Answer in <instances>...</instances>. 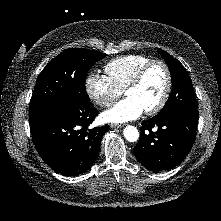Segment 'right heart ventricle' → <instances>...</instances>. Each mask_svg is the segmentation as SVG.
Instances as JSON below:
<instances>
[{
  "instance_id": "e07e8e85",
  "label": "right heart ventricle",
  "mask_w": 221,
  "mask_h": 221,
  "mask_svg": "<svg viewBox=\"0 0 221 221\" xmlns=\"http://www.w3.org/2000/svg\"><path fill=\"white\" fill-rule=\"evenodd\" d=\"M150 60L151 58L139 54L119 56L109 61L104 70L111 82L123 90L136 71Z\"/></svg>"
}]
</instances>
